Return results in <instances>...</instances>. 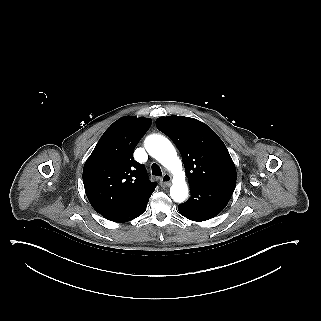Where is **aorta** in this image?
<instances>
[{"instance_id": "obj_1", "label": "aorta", "mask_w": 321, "mask_h": 321, "mask_svg": "<svg viewBox=\"0 0 321 321\" xmlns=\"http://www.w3.org/2000/svg\"><path fill=\"white\" fill-rule=\"evenodd\" d=\"M145 148L153 158L173 174L170 196L175 202H183L188 196V186L185 182L182 162L172 143L166 137L154 134L146 138Z\"/></svg>"}]
</instances>
